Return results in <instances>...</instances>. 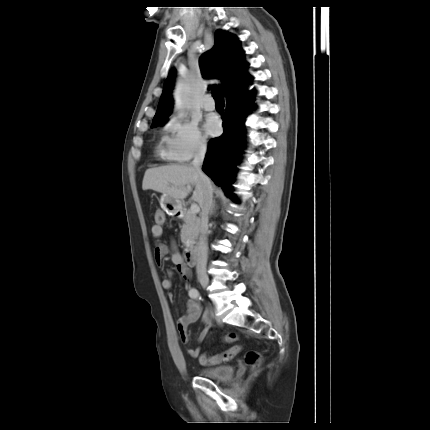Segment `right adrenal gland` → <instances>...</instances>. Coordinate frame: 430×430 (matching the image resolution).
Masks as SVG:
<instances>
[{
  "label": "right adrenal gland",
  "instance_id": "obj_1",
  "mask_svg": "<svg viewBox=\"0 0 430 430\" xmlns=\"http://www.w3.org/2000/svg\"><path fill=\"white\" fill-rule=\"evenodd\" d=\"M215 207H216V204H215V201H213V204L210 210V216H212L215 213Z\"/></svg>",
  "mask_w": 430,
  "mask_h": 430
}]
</instances>
